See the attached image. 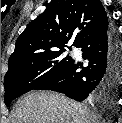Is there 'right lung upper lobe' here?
<instances>
[{"label":"right lung upper lobe","mask_w":122,"mask_h":123,"mask_svg":"<svg viewBox=\"0 0 122 123\" xmlns=\"http://www.w3.org/2000/svg\"><path fill=\"white\" fill-rule=\"evenodd\" d=\"M107 24L108 16L100 0H51L48 8L18 37L8 63L65 50L73 35V45L78 47Z\"/></svg>","instance_id":"1"}]
</instances>
